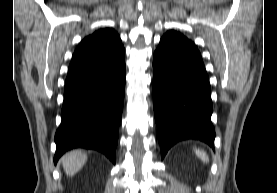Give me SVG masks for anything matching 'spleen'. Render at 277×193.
I'll return each mask as SVG.
<instances>
[{
  "instance_id": "3e777b00",
  "label": "spleen",
  "mask_w": 277,
  "mask_h": 193,
  "mask_svg": "<svg viewBox=\"0 0 277 193\" xmlns=\"http://www.w3.org/2000/svg\"><path fill=\"white\" fill-rule=\"evenodd\" d=\"M195 154L198 158H200L203 162H208L209 161V158L207 156V154L202 151V150H199V149H195Z\"/></svg>"
}]
</instances>
